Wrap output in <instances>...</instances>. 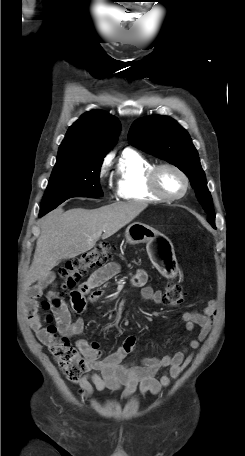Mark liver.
<instances>
[{"label": "liver", "instance_id": "liver-1", "mask_svg": "<svg viewBox=\"0 0 245 456\" xmlns=\"http://www.w3.org/2000/svg\"><path fill=\"white\" fill-rule=\"evenodd\" d=\"M145 202L113 203L97 209L58 208L40 221L32 264L24 289L44 280L63 259H71L91 250L102 236L106 239L135 219L146 207Z\"/></svg>", "mask_w": 245, "mask_h": 456}]
</instances>
